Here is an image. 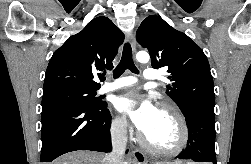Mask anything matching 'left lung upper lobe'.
Instances as JSON below:
<instances>
[{"label": "left lung upper lobe", "instance_id": "5c2ea615", "mask_svg": "<svg viewBox=\"0 0 251 164\" xmlns=\"http://www.w3.org/2000/svg\"><path fill=\"white\" fill-rule=\"evenodd\" d=\"M136 39L148 49L153 68L168 67L171 84L166 94L182 113L194 107L214 110V86L207 57L185 33L151 15L139 26Z\"/></svg>", "mask_w": 251, "mask_h": 164}]
</instances>
